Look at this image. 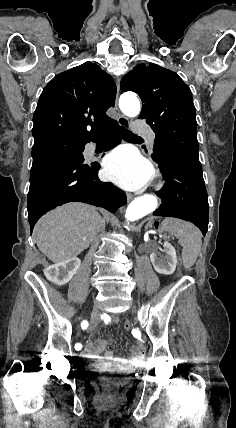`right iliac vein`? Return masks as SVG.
Wrapping results in <instances>:
<instances>
[{
    "mask_svg": "<svg viewBox=\"0 0 236 428\" xmlns=\"http://www.w3.org/2000/svg\"><path fill=\"white\" fill-rule=\"evenodd\" d=\"M90 316L92 317V318H91V327H96V319H97V316L95 315V313H94V312H91V313H90Z\"/></svg>",
    "mask_w": 236,
    "mask_h": 428,
    "instance_id": "obj_1",
    "label": "right iliac vein"
}]
</instances>
